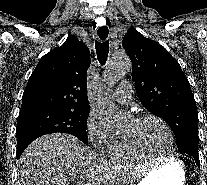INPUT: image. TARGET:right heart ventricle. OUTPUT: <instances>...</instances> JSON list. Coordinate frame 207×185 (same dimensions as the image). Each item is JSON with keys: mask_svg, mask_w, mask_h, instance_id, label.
<instances>
[{"mask_svg": "<svg viewBox=\"0 0 207 185\" xmlns=\"http://www.w3.org/2000/svg\"><path fill=\"white\" fill-rule=\"evenodd\" d=\"M105 154L110 160L114 162H129L143 159V157L130 152L124 143L123 137L118 134L105 150Z\"/></svg>", "mask_w": 207, "mask_h": 185, "instance_id": "obj_1", "label": "right heart ventricle"}]
</instances>
